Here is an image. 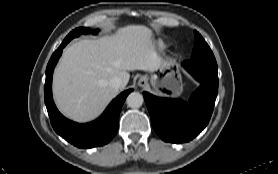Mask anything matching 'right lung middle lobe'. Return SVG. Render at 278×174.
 I'll return each mask as SVG.
<instances>
[{"label":"right lung middle lobe","instance_id":"right-lung-middle-lobe-1","mask_svg":"<svg viewBox=\"0 0 278 174\" xmlns=\"http://www.w3.org/2000/svg\"><path fill=\"white\" fill-rule=\"evenodd\" d=\"M90 32V28L79 27L73 30L68 34V36L64 39V41H70L71 39L80 36L81 34H88ZM98 30L94 31L93 33H97Z\"/></svg>","mask_w":278,"mask_h":174}]
</instances>
